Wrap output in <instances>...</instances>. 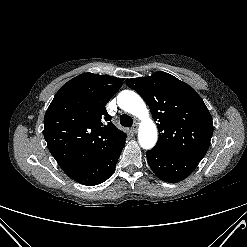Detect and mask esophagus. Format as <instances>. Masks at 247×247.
<instances>
[{
    "mask_svg": "<svg viewBox=\"0 0 247 247\" xmlns=\"http://www.w3.org/2000/svg\"><path fill=\"white\" fill-rule=\"evenodd\" d=\"M131 130H132L133 133H136L137 130H138V124H134V125L132 126Z\"/></svg>",
    "mask_w": 247,
    "mask_h": 247,
    "instance_id": "34e87169",
    "label": "esophagus"
}]
</instances>
